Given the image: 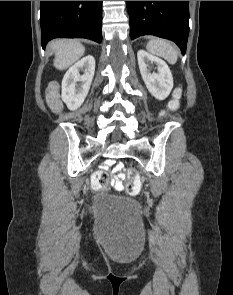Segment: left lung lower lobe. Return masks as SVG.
Returning <instances> with one entry per match:
<instances>
[{
    "instance_id": "1",
    "label": "left lung lower lobe",
    "mask_w": 233,
    "mask_h": 295,
    "mask_svg": "<svg viewBox=\"0 0 233 295\" xmlns=\"http://www.w3.org/2000/svg\"><path fill=\"white\" fill-rule=\"evenodd\" d=\"M130 36L155 35L174 41L186 52L189 34L188 1H126Z\"/></svg>"
}]
</instances>
